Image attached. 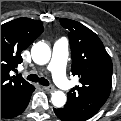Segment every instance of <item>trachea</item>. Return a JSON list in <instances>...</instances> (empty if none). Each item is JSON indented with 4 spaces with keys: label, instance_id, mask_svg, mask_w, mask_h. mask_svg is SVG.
<instances>
[{
    "label": "trachea",
    "instance_id": "3493384b",
    "mask_svg": "<svg viewBox=\"0 0 121 121\" xmlns=\"http://www.w3.org/2000/svg\"><path fill=\"white\" fill-rule=\"evenodd\" d=\"M27 79L29 81H32V82H39L43 86H48L49 85V82H48L47 79H45L43 77H39L36 74H31V75L27 76Z\"/></svg>",
    "mask_w": 121,
    "mask_h": 121
}]
</instances>
